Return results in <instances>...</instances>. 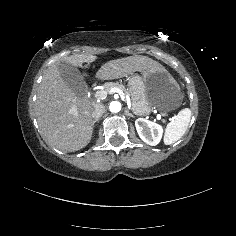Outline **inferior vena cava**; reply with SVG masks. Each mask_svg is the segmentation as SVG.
I'll return each instance as SVG.
<instances>
[{
    "label": "inferior vena cava",
    "instance_id": "inferior-vena-cava-1",
    "mask_svg": "<svg viewBox=\"0 0 236 236\" xmlns=\"http://www.w3.org/2000/svg\"><path fill=\"white\" fill-rule=\"evenodd\" d=\"M105 112V106L102 103H95L92 111H91V117L94 119H97L101 117Z\"/></svg>",
    "mask_w": 236,
    "mask_h": 236
}]
</instances>
